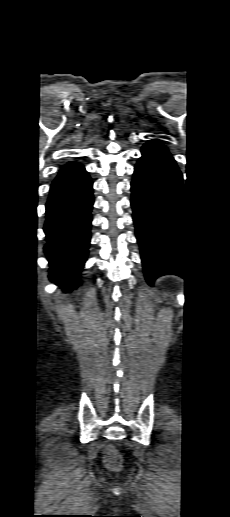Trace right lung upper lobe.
Returning a JSON list of instances; mask_svg holds the SVG:
<instances>
[{"mask_svg": "<svg viewBox=\"0 0 230 517\" xmlns=\"http://www.w3.org/2000/svg\"><path fill=\"white\" fill-rule=\"evenodd\" d=\"M75 165H77V164H76V163H69V164L65 165V166L61 169V171H60V172H62V171H64V170H66V169H68V168H70V167H73V166H75Z\"/></svg>", "mask_w": 230, "mask_h": 517, "instance_id": "cb5924a9", "label": "right lung upper lobe"}]
</instances>
